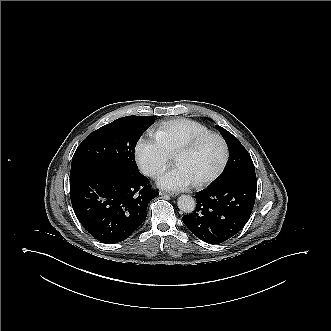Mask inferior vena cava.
Segmentation results:
<instances>
[{"instance_id": "inferior-vena-cava-1", "label": "inferior vena cava", "mask_w": 331, "mask_h": 331, "mask_svg": "<svg viewBox=\"0 0 331 331\" xmlns=\"http://www.w3.org/2000/svg\"><path fill=\"white\" fill-rule=\"evenodd\" d=\"M149 174H154V172H152V171H149Z\"/></svg>"}]
</instances>
